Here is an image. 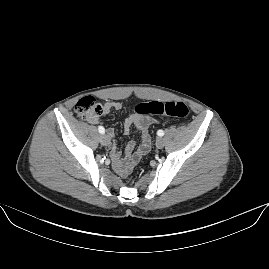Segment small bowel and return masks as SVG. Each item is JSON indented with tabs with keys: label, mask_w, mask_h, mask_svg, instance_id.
Listing matches in <instances>:
<instances>
[{
	"label": "small bowel",
	"mask_w": 269,
	"mask_h": 269,
	"mask_svg": "<svg viewBox=\"0 0 269 269\" xmlns=\"http://www.w3.org/2000/svg\"><path fill=\"white\" fill-rule=\"evenodd\" d=\"M121 108V103L119 102H107L103 105V112L109 113L112 110H118ZM96 123V120L92 121ZM158 120L154 118H147L137 114L130 115L123 124V132L124 134H129L131 131V127L135 126L141 133V143L138 149L134 152L135 142L129 141L125 146V155L121 158L120 153L117 150L115 144L112 145L111 148V158L114 168L120 172L121 174L127 173V168L132 165L135 161L140 160L143 156L147 155L143 150V133L146 129L149 128L150 125L157 123ZM107 134L111 138L114 137V129L108 128Z\"/></svg>",
	"instance_id": "c3829d8e"
}]
</instances>
